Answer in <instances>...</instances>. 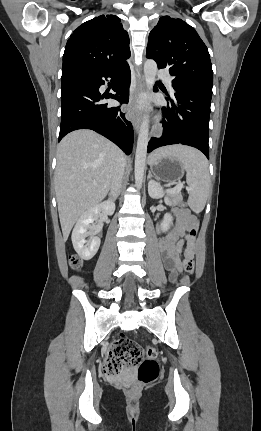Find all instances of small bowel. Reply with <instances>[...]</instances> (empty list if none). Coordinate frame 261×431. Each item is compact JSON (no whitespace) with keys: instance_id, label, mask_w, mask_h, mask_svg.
I'll use <instances>...</instances> for the list:
<instances>
[{"instance_id":"c3829d8e","label":"small bowel","mask_w":261,"mask_h":431,"mask_svg":"<svg viewBox=\"0 0 261 431\" xmlns=\"http://www.w3.org/2000/svg\"><path fill=\"white\" fill-rule=\"evenodd\" d=\"M176 225L174 229L158 242V250L162 256L165 268L174 278L182 272L181 249L185 241L191 242L188 232L194 229L196 221L187 211L176 208L174 210Z\"/></svg>"}]
</instances>
